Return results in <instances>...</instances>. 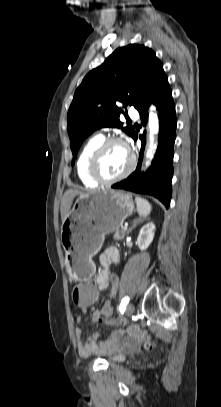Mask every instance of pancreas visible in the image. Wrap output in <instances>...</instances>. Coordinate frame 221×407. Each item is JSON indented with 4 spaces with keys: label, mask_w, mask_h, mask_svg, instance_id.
<instances>
[{
    "label": "pancreas",
    "mask_w": 221,
    "mask_h": 407,
    "mask_svg": "<svg viewBox=\"0 0 221 407\" xmlns=\"http://www.w3.org/2000/svg\"><path fill=\"white\" fill-rule=\"evenodd\" d=\"M126 234H127L126 230H124V229L123 230H118V231H116L114 233L113 238H114V240H122L125 237Z\"/></svg>",
    "instance_id": "pancreas-1"
}]
</instances>
